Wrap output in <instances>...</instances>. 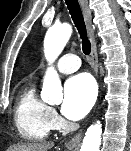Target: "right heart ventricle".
Here are the masks:
<instances>
[{
	"mask_svg": "<svg viewBox=\"0 0 131 151\" xmlns=\"http://www.w3.org/2000/svg\"><path fill=\"white\" fill-rule=\"evenodd\" d=\"M50 109L38 97L35 85L25 87L18 96L15 108V125L21 137L30 141L46 139L54 128Z\"/></svg>",
	"mask_w": 131,
	"mask_h": 151,
	"instance_id": "right-heart-ventricle-1",
	"label": "right heart ventricle"
}]
</instances>
